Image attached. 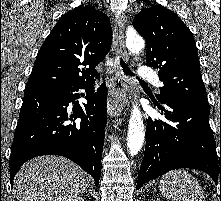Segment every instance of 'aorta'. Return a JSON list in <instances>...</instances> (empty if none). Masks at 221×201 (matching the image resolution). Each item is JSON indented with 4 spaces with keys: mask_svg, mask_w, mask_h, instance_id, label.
I'll list each match as a JSON object with an SVG mask.
<instances>
[{
    "mask_svg": "<svg viewBox=\"0 0 221 201\" xmlns=\"http://www.w3.org/2000/svg\"><path fill=\"white\" fill-rule=\"evenodd\" d=\"M126 46L131 53L138 54L144 48V40L141 36L133 34L127 37ZM144 138L145 131L141 111L137 105H133L127 136V147L131 156L139 153L143 146Z\"/></svg>",
    "mask_w": 221,
    "mask_h": 201,
    "instance_id": "762f6f07",
    "label": "aorta"
}]
</instances>
